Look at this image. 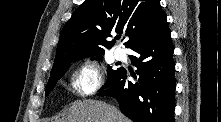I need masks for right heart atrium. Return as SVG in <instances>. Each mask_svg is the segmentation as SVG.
<instances>
[{
  "mask_svg": "<svg viewBox=\"0 0 221 122\" xmlns=\"http://www.w3.org/2000/svg\"><path fill=\"white\" fill-rule=\"evenodd\" d=\"M72 92L77 96H90L102 85V70L94 62L86 61L73 72L70 80Z\"/></svg>",
  "mask_w": 221,
  "mask_h": 122,
  "instance_id": "1",
  "label": "right heart atrium"
}]
</instances>
